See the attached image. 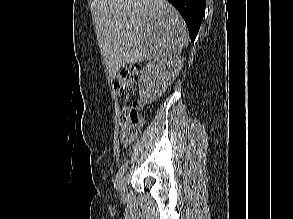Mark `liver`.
Here are the masks:
<instances>
[{"mask_svg": "<svg viewBox=\"0 0 293 219\" xmlns=\"http://www.w3.org/2000/svg\"><path fill=\"white\" fill-rule=\"evenodd\" d=\"M95 25L111 79L126 63L177 56L188 41L183 18L166 0H98Z\"/></svg>", "mask_w": 293, "mask_h": 219, "instance_id": "6515ba94", "label": "liver"}]
</instances>
